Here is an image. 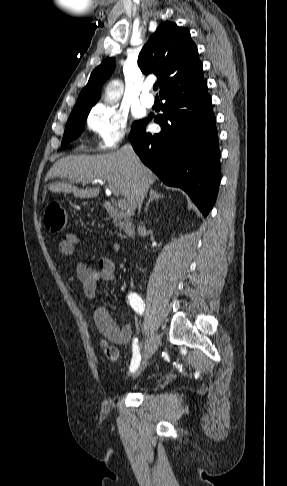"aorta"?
I'll list each match as a JSON object with an SVG mask.
<instances>
[{"mask_svg": "<svg viewBox=\"0 0 287 486\" xmlns=\"http://www.w3.org/2000/svg\"><path fill=\"white\" fill-rule=\"evenodd\" d=\"M123 85L119 81H113L105 91V100L109 104L116 103L122 96Z\"/></svg>", "mask_w": 287, "mask_h": 486, "instance_id": "aorta-1", "label": "aorta"}]
</instances>
